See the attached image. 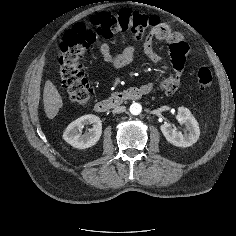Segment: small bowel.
<instances>
[{"instance_id":"small-bowel-1","label":"small bowel","mask_w":236,"mask_h":236,"mask_svg":"<svg viewBox=\"0 0 236 236\" xmlns=\"http://www.w3.org/2000/svg\"><path fill=\"white\" fill-rule=\"evenodd\" d=\"M154 36V34H149L145 38L142 45V53L150 62L156 65H160L163 63V58L155 51L153 47ZM167 43H169L171 47L172 66L175 70V73L162 79L157 84H147L143 86L148 93L152 92L155 88H159L166 94H173L180 87V72L184 67L189 47L184 37L179 34H176V37ZM99 49L104 61L110 67L116 70L122 69L125 66L129 65L138 53V49L135 46H127L124 49L113 53L111 51L110 44L106 41L100 44Z\"/></svg>"}]
</instances>
